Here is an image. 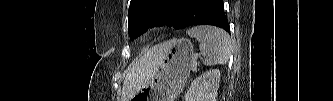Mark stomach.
<instances>
[{"mask_svg": "<svg viewBox=\"0 0 333 101\" xmlns=\"http://www.w3.org/2000/svg\"><path fill=\"white\" fill-rule=\"evenodd\" d=\"M167 43L158 70L130 101H174L182 92L193 60V45L186 38Z\"/></svg>", "mask_w": 333, "mask_h": 101, "instance_id": "obj_1", "label": "stomach"}]
</instances>
